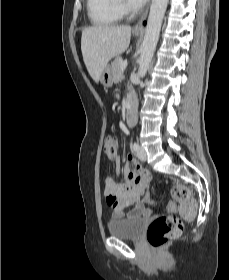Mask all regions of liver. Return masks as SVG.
Wrapping results in <instances>:
<instances>
[{"label": "liver", "mask_w": 229, "mask_h": 280, "mask_svg": "<svg viewBox=\"0 0 229 280\" xmlns=\"http://www.w3.org/2000/svg\"><path fill=\"white\" fill-rule=\"evenodd\" d=\"M130 26L97 25L85 28L81 37L83 60L92 79L98 83L108 62L129 46Z\"/></svg>", "instance_id": "obj_1"}]
</instances>
